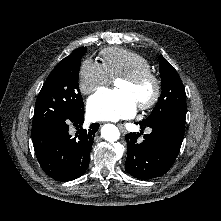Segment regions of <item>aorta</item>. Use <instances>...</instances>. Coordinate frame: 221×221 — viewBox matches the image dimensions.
Masks as SVG:
<instances>
[{
	"label": "aorta",
	"mask_w": 221,
	"mask_h": 221,
	"mask_svg": "<svg viewBox=\"0 0 221 221\" xmlns=\"http://www.w3.org/2000/svg\"><path fill=\"white\" fill-rule=\"evenodd\" d=\"M102 137L109 142L117 141L120 137L118 128L113 124H105L101 129Z\"/></svg>",
	"instance_id": "1"
}]
</instances>
